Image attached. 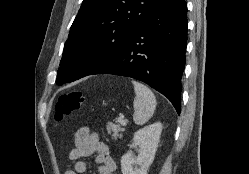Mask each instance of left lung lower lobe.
Here are the masks:
<instances>
[{"label":"left lung lower lobe","mask_w":249,"mask_h":174,"mask_svg":"<svg viewBox=\"0 0 249 174\" xmlns=\"http://www.w3.org/2000/svg\"><path fill=\"white\" fill-rule=\"evenodd\" d=\"M187 27L185 0H160L119 58L95 74L140 80L165 95L180 114Z\"/></svg>","instance_id":"left-lung-lower-lobe-1"}]
</instances>
